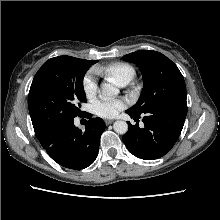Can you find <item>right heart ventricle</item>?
<instances>
[{
  "label": "right heart ventricle",
  "mask_w": 220,
  "mask_h": 220,
  "mask_svg": "<svg viewBox=\"0 0 220 220\" xmlns=\"http://www.w3.org/2000/svg\"><path fill=\"white\" fill-rule=\"evenodd\" d=\"M97 72L103 74L105 77L119 86L129 84L134 80L136 75L134 67L125 62L111 63L98 68Z\"/></svg>",
  "instance_id": "1"
}]
</instances>
